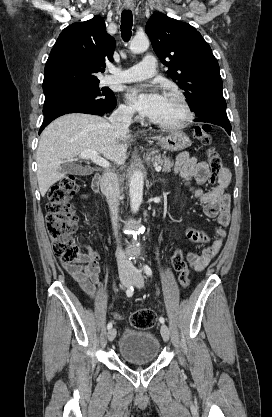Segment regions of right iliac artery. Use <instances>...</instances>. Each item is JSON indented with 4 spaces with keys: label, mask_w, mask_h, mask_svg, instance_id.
Masks as SVG:
<instances>
[{
    "label": "right iliac artery",
    "mask_w": 272,
    "mask_h": 417,
    "mask_svg": "<svg viewBox=\"0 0 272 417\" xmlns=\"http://www.w3.org/2000/svg\"><path fill=\"white\" fill-rule=\"evenodd\" d=\"M133 293H134V286H133V284H131V285L128 287L127 291H126V295H127L128 297H131V296L133 295ZM107 328H108L109 330L112 328V322H109V323H108Z\"/></svg>",
    "instance_id": "obj_1"
}]
</instances>
